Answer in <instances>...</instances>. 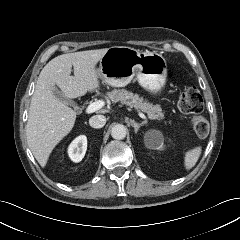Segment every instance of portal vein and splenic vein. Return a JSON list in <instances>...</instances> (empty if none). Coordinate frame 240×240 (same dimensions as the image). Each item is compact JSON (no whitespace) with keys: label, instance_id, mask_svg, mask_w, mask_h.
Segmentation results:
<instances>
[{"label":"portal vein and splenic vein","instance_id":"18ae733b","mask_svg":"<svg viewBox=\"0 0 240 240\" xmlns=\"http://www.w3.org/2000/svg\"><path fill=\"white\" fill-rule=\"evenodd\" d=\"M104 105H105V103L102 100L95 101V102L91 103L90 105H88V107L86 108V113L91 114V113L101 109ZM138 115L142 119H145V120L147 119V117L141 112H139Z\"/></svg>","mask_w":240,"mask_h":240}]
</instances>
